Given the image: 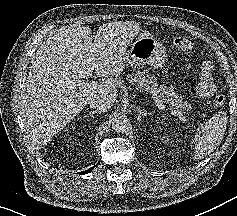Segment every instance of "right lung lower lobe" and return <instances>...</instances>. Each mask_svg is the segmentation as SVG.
I'll list each match as a JSON object with an SVG mask.
<instances>
[{"mask_svg": "<svg viewBox=\"0 0 237 216\" xmlns=\"http://www.w3.org/2000/svg\"><path fill=\"white\" fill-rule=\"evenodd\" d=\"M94 167H95V166H93L92 168H90V169H88V170H86V171H82V172H80V174H87V173L91 172Z\"/></svg>", "mask_w": 237, "mask_h": 216, "instance_id": "right-lung-lower-lobe-1", "label": "right lung lower lobe"}]
</instances>
